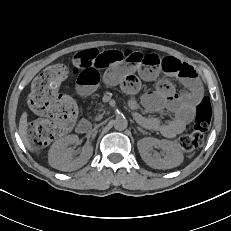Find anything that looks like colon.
Masks as SVG:
<instances>
[{
    "instance_id": "colon-1",
    "label": "colon",
    "mask_w": 231,
    "mask_h": 231,
    "mask_svg": "<svg viewBox=\"0 0 231 231\" xmlns=\"http://www.w3.org/2000/svg\"><path fill=\"white\" fill-rule=\"evenodd\" d=\"M148 57H151V54L133 50L120 51L110 58H107L104 53L86 52L75 56L73 65L77 70L92 63L100 62L107 65L113 60L142 62ZM66 76L67 68L65 66L53 65L43 70L32 83L28 105L35 114L40 116L29 127V137L35 147L47 146L64 135L77 116L75 102L69 96L58 91ZM211 119V105L208 100L204 99L197 107L193 131L180 136L177 140L178 146L185 151L202 146Z\"/></svg>"
}]
</instances>
